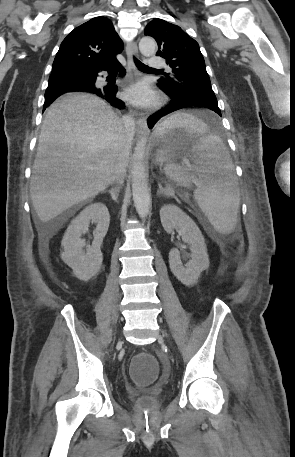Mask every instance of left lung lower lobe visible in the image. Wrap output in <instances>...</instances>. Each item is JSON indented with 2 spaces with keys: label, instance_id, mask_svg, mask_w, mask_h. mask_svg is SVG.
Segmentation results:
<instances>
[{
  "label": "left lung lower lobe",
  "instance_id": "1",
  "mask_svg": "<svg viewBox=\"0 0 295 457\" xmlns=\"http://www.w3.org/2000/svg\"><path fill=\"white\" fill-rule=\"evenodd\" d=\"M169 96L172 98L170 105L167 106L166 108L156 112L155 114L151 115L148 118V124H149L150 128L161 117H163L173 111H176V110H179L182 108H186V107H191V106H200V107L209 108L221 116V111L218 108L217 99L214 94H196V95H189V96L179 97V98H176L172 95H169Z\"/></svg>",
  "mask_w": 295,
  "mask_h": 457
}]
</instances>
